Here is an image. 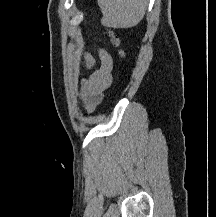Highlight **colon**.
<instances>
[{"mask_svg":"<svg viewBox=\"0 0 216 217\" xmlns=\"http://www.w3.org/2000/svg\"><path fill=\"white\" fill-rule=\"evenodd\" d=\"M109 35H110V39H111L112 45L114 47L118 48V55H119V57H121V58L124 57L125 52H124V50L121 47V42L122 41H121L120 36L117 35V34H115V33H113V32H110Z\"/></svg>","mask_w":216,"mask_h":217,"instance_id":"obj_1","label":"colon"}]
</instances>
